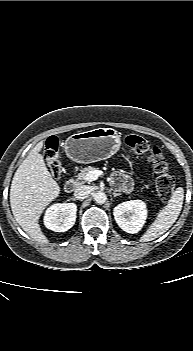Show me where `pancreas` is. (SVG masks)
<instances>
[{
	"mask_svg": "<svg viewBox=\"0 0 193 351\" xmlns=\"http://www.w3.org/2000/svg\"><path fill=\"white\" fill-rule=\"evenodd\" d=\"M93 170H97V168L92 167V166H88V167L83 168L80 171V173H78L76 180L79 182L88 181L86 179V176L90 171H93Z\"/></svg>",
	"mask_w": 193,
	"mask_h": 351,
	"instance_id": "pancreas-1",
	"label": "pancreas"
}]
</instances>
